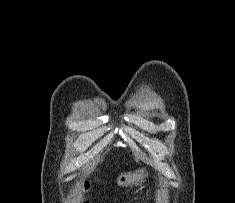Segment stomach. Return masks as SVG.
Segmentation results:
<instances>
[{
    "instance_id": "stomach-1",
    "label": "stomach",
    "mask_w": 235,
    "mask_h": 203,
    "mask_svg": "<svg viewBox=\"0 0 235 203\" xmlns=\"http://www.w3.org/2000/svg\"><path fill=\"white\" fill-rule=\"evenodd\" d=\"M146 174L144 170H137L135 172H128L120 174L117 178V184L119 186H132L141 183Z\"/></svg>"
}]
</instances>
